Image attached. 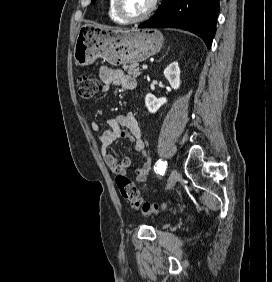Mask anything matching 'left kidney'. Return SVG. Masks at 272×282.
<instances>
[{
	"label": "left kidney",
	"mask_w": 272,
	"mask_h": 282,
	"mask_svg": "<svg viewBox=\"0 0 272 282\" xmlns=\"http://www.w3.org/2000/svg\"><path fill=\"white\" fill-rule=\"evenodd\" d=\"M164 76L169 81L172 89L177 90L180 87V67L178 62L169 64L164 69ZM167 103V98H156L153 94L148 93L145 97V106L150 113H156L159 108Z\"/></svg>",
	"instance_id": "obj_1"
}]
</instances>
